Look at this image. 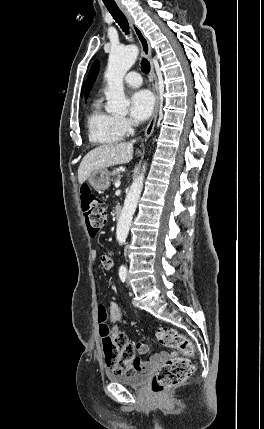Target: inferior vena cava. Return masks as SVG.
Returning <instances> with one entry per match:
<instances>
[{"mask_svg": "<svg viewBox=\"0 0 264 429\" xmlns=\"http://www.w3.org/2000/svg\"><path fill=\"white\" fill-rule=\"evenodd\" d=\"M123 250H124V255H129V250L127 246H124Z\"/></svg>", "mask_w": 264, "mask_h": 429, "instance_id": "1", "label": "inferior vena cava"}]
</instances>
